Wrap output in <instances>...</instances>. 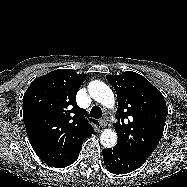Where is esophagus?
I'll return each mask as SVG.
<instances>
[{"instance_id": "esophagus-1", "label": "esophagus", "mask_w": 187, "mask_h": 187, "mask_svg": "<svg viewBox=\"0 0 187 187\" xmlns=\"http://www.w3.org/2000/svg\"><path fill=\"white\" fill-rule=\"evenodd\" d=\"M99 125L101 128H105L107 126V122L105 119H101L99 122Z\"/></svg>"}]
</instances>
